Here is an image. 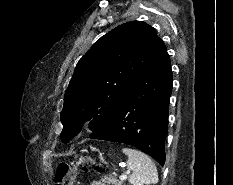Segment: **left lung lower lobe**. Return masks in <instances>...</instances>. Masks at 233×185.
Wrapping results in <instances>:
<instances>
[{
	"mask_svg": "<svg viewBox=\"0 0 233 185\" xmlns=\"http://www.w3.org/2000/svg\"><path fill=\"white\" fill-rule=\"evenodd\" d=\"M172 80L166 52L134 84L114 116L90 138L132 145L164 165Z\"/></svg>",
	"mask_w": 233,
	"mask_h": 185,
	"instance_id": "obj_1",
	"label": "left lung lower lobe"
}]
</instances>
